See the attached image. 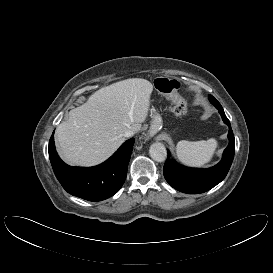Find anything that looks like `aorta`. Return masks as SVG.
<instances>
[{
	"label": "aorta",
	"mask_w": 273,
	"mask_h": 273,
	"mask_svg": "<svg viewBox=\"0 0 273 273\" xmlns=\"http://www.w3.org/2000/svg\"><path fill=\"white\" fill-rule=\"evenodd\" d=\"M149 153L151 158L157 162L165 161L167 156V151L165 146L159 142L153 143L150 146Z\"/></svg>",
	"instance_id": "1"
}]
</instances>
